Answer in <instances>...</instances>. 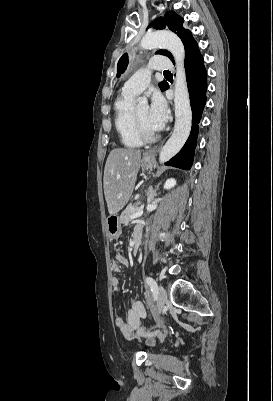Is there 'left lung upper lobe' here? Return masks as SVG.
I'll return each instance as SVG.
<instances>
[{
    "label": "left lung upper lobe",
    "mask_w": 273,
    "mask_h": 401,
    "mask_svg": "<svg viewBox=\"0 0 273 401\" xmlns=\"http://www.w3.org/2000/svg\"><path fill=\"white\" fill-rule=\"evenodd\" d=\"M149 27H155L156 29H164V28H168L171 31H173L174 33H176L182 40L185 50L194 42H196L190 32V30L185 29L183 27V18H181L179 15H177L174 11H169L167 12L164 17H159L157 18L155 21H153L149 26ZM156 54H161V55H165L167 57H169L172 61L173 56L170 52H168L167 50H159L156 52ZM128 65V55L124 54L118 62V66H117V77L120 76L121 73H123ZM167 82L163 81L161 83H159V87L161 88V90H164V88L166 87Z\"/></svg>",
    "instance_id": "left-lung-upper-lobe-1"
}]
</instances>
